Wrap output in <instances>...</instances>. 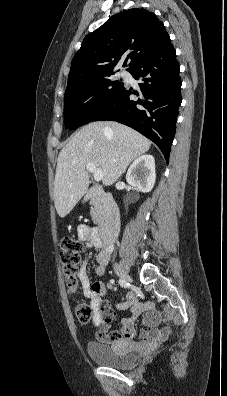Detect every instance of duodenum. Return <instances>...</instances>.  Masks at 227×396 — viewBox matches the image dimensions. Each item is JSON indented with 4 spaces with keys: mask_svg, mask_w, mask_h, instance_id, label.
<instances>
[{
    "mask_svg": "<svg viewBox=\"0 0 227 396\" xmlns=\"http://www.w3.org/2000/svg\"><path fill=\"white\" fill-rule=\"evenodd\" d=\"M85 199L97 203L102 209L96 240L103 248H109L120 230V213L113 196L99 187L91 188Z\"/></svg>",
    "mask_w": 227,
    "mask_h": 396,
    "instance_id": "410a0bca",
    "label": "duodenum"
}]
</instances>
